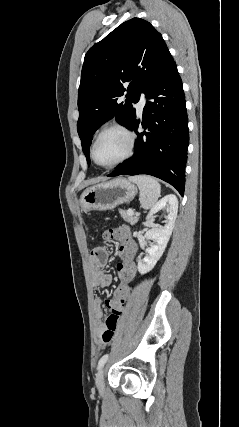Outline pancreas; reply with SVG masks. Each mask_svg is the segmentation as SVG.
Segmentation results:
<instances>
[{"instance_id":"1","label":"pancreas","mask_w":239,"mask_h":427,"mask_svg":"<svg viewBox=\"0 0 239 427\" xmlns=\"http://www.w3.org/2000/svg\"><path fill=\"white\" fill-rule=\"evenodd\" d=\"M119 213H120V215L122 216V218H123L126 222L130 223L131 225L136 224V223L138 222V220H139V217H138L137 215H134V214L129 215V214H128V211H125V210L119 209Z\"/></svg>"}]
</instances>
